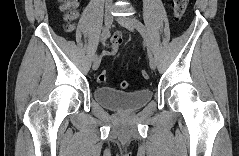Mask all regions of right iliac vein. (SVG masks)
Listing matches in <instances>:
<instances>
[{
	"label": "right iliac vein",
	"instance_id": "1",
	"mask_svg": "<svg viewBox=\"0 0 239 156\" xmlns=\"http://www.w3.org/2000/svg\"><path fill=\"white\" fill-rule=\"evenodd\" d=\"M113 22V16H112V11L111 9L106 11L105 18H104V25H105V30H109ZM101 58L98 57L93 61V70H97L98 67L100 66Z\"/></svg>",
	"mask_w": 239,
	"mask_h": 156
}]
</instances>
